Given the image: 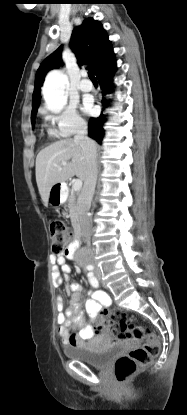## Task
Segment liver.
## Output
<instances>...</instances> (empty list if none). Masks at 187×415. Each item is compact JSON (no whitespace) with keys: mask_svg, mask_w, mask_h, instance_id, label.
<instances>
[{"mask_svg":"<svg viewBox=\"0 0 187 415\" xmlns=\"http://www.w3.org/2000/svg\"><path fill=\"white\" fill-rule=\"evenodd\" d=\"M63 162L67 164L62 165ZM35 171L41 199L47 206L52 186L74 175L84 180L86 160L83 150L71 138L56 141L38 153Z\"/></svg>","mask_w":187,"mask_h":415,"instance_id":"1","label":"liver"}]
</instances>
